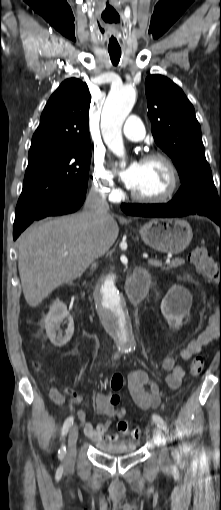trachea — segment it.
I'll return each mask as SVG.
<instances>
[{
    "label": "trachea",
    "instance_id": "1",
    "mask_svg": "<svg viewBox=\"0 0 221 510\" xmlns=\"http://www.w3.org/2000/svg\"><path fill=\"white\" fill-rule=\"evenodd\" d=\"M110 59L113 65H118L121 58V52L109 51Z\"/></svg>",
    "mask_w": 221,
    "mask_h": 510
}]
</instances>
